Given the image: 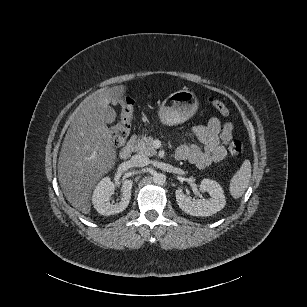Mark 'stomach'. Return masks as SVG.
Masks as SVG:
<instances>
[{"label": "stomach", "mask_w": 307, "mask_h": 307, "mask_svg": "<svg viewBox=\"0 0 307 307\" xmlns=\"http://www.w3.org/2000/svg\"><path fill=\"white\" fill-rule=\"evenodd\" d=\"M198 99L188 90H179L170 94L161 104L158 116L167 126H176L189 120L198 109Z\"/></svg>", "instance_id": "stomach-1"}]
</instances>
